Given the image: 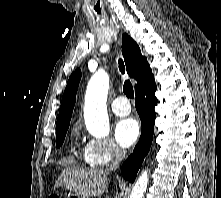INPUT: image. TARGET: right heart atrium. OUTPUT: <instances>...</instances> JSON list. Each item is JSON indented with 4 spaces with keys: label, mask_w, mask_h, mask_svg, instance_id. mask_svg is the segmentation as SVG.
<instances>
[{
    "label": "right heart atrium",
    "mask_w": 221,
    "mask_h": 198,
    "mask_svg": "<svg viewBox=\"0 0 221 198\" xmlns=\"http://www.w3.org/2000/svg\"><path fill=\"white\" fill-rule=\"evenodd\" d=\"M84 152L87 162L96 167L119 161L125 154L112 139H90L86 143Z\"/></svg>",
    "instance_id": "1"
}]
</instances>
